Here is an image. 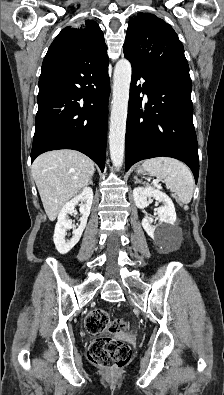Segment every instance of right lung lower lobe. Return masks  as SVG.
Here are the masks:
<instances>
[{
    "instance_id": "right-lung-lower-lobe-1",
    "label": "right lung lower lobe",
    "mask_w": 224,
    "mask_h": 395,
    "mask_svg": "<svg viewBox=\"0 0 224 395\" xmlns=\"http://www.w3.org/2000/svg\"><path fill=\"white\" fill-rule=\"evenodd\" d=\"M108 60L79 63L61 56L43 60L31 162L50 150H78L104 170Z\"/></svg>"
}]
</instances>
